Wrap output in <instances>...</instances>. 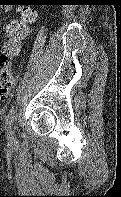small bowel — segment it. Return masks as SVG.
Here are the masks:
<instances>
[{
  "label": "small bowel",
  "mask_w": 121,
  "mask_h": 197,
  "mask_svg": "<svg viewBox=\"0 0 121 197\" xmlns=\"http://www.w3.org/2000/svg\"><path fill=\"white\" fill-rule=\"evenodd\" d=\"M5 12L4 11H0V17L4 14Z\"/></svg>",
  "instance_id": "small-bowel-1"
}]
</instances>
